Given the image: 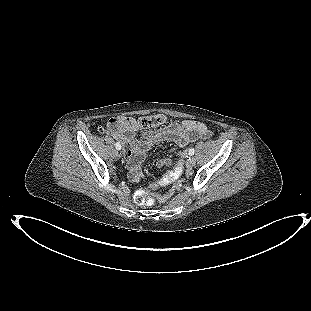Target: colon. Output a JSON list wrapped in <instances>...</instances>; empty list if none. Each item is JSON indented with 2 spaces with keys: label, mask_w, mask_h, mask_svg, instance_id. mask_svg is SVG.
Instances as JSON below:
<instances>
[{
  "label": "colon",
  "mask_w": 311,
  "mask_h": 311,
  "mask_svg": "<svg viewBox=\"0 0 311 311\" xmlns=\"http://www.w3.org/2000/svg\"><path fill=\"white\" fill-rule=\"evenodd\" d=\"M166 116L162 114H154L146 117H142L138 120L139 126L142 128H152L157 127L166 122ZM114 129H117L118 123L114 122L112 124ZM175 177V172L170 171L163 175L158 182H154L150 184L147 188L138 191L135 195V201L137 204L141 206H152L155 202L159 199L158 195L156 194V190L159 184H166L172 181Z\"/></svg>",
  "instance_id": "5ec220e1"
}]
</instances>
